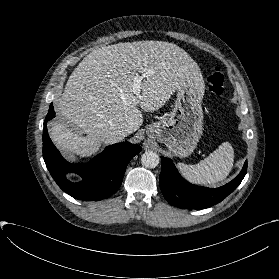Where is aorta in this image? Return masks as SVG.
Masks as SVG:
<instances>
[{"label":"aorta","mask_w":279,"mask_h":279,"mask_svg":"<svg viewBox=\"0 0 279 279\" xmlns=\"http://www.w3.org/2000/svg\"><path fill=\"white\" fill-rule=\"evenodd\" d=\"M160 158L156 152L146 151L141 156V163L146 168H155L158 166Z\"/></svg>","instance_id":"1"}]
</instances>
